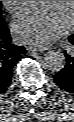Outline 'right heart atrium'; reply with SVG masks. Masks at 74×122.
<instances>
[{"label": "right heart atrium", "mask_w": 74, "mask_h": 122, "mask_svg": "<svg viewBox=\"0 0 74 122\" xmlns=\"http://www.w3.org/2000/svg\"><path fill=\"white\" fill-rule=\"evenodd\" d=\"M2 3L10 14L15 15L22 10L26 1H2Z\"/></svg>", "instance_id": "d8ad5b80"}]
</instances>
